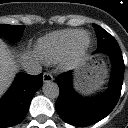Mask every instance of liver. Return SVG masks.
I'll return each instance as SVG.
<instances>
[{"mask_svg":"<svg viewBox=\"0 0 128 128\" xmlns=\"http://www.w3.org/2000/svg\"><path fill=\"white\" fill-rule=\"evenodd\" d=\"M27 59V57H23V63H25ZM87 72L90 73V76L87 75ZM14 74L15 67L12 54L8 49L7 45L0 39V95L10 84ZM83 74H86L83 75L85 82L89 81L91 78H96L99 83H101L102 79L105 77L106 69L102 65L98 66L92 64L91 66H87Z\"/></svg>","mask_w":128,"mask_h":128,"instance_id":"liver-1","label":"liver"}]
</instances>
